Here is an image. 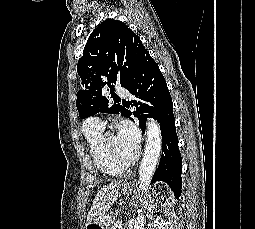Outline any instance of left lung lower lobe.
Wrapping results in <instances>:
<instances>
[{
  "label": "left lung lower lobe",
  "mask_w": 255,
  "mask_h": 229,
  "mask_svg": "<svg viewBox=\"0 0 255 229\" xmlns=\"http://www.w3.org/2000/svg\"><path fill=\"white\" fill-rule=\"evenodd\" d=\"M125 88L135 97L131 101L137 108L133 114L139 119L143 132L147 117H153L160 123L162 155L152 182H166L179 198L182 188V157L178 148L172 98L164 76L147 50L140 57ZM131 114L126 109L125 116L133 120Z\"/></svg>",
  "instance_id": "1"
}]
</instances>
